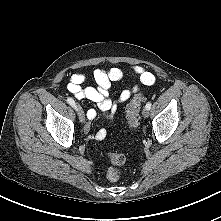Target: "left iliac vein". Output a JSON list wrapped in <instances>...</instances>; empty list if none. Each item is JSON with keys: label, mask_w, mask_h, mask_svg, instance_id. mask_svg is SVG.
<instances>
[{"label": "left iliac vein", "mask_w": 221, "mask_h": 221, "mask_svg": "<svg viewBox=\"0 0 221 221\" xmlns=\"http://www.w3.org/2000/svg\"><path fill=\"white\" fill-rule=\"evenodd\" d=\"M142 114L145 118H147L149 116V110L145 107L142 111Z\"/></svg>", "instance_id": "obj_1"}]
</instances>
